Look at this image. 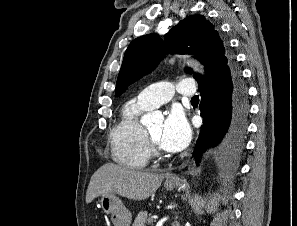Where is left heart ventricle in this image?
I'll return each instance as SVG.
<instances>
[{
  "instance_id": "b2bd125f",
  "label": "left heart ventricle",
  "mask_w": 297,
  "mask_h": 226,
  "mask_svg": "<svg viewBox=\"0 0 297 226\" xmlns=\"http://www.w3.org/2000/svg\"><path fill=\"white\" fill-rule=\"evenodd\" d=\"M162 124H157L155 126H152L150 128H148V132L150 133L151 137L158 143L160 136H161V132H162Z\"/></svg>"
}]
</instances>
